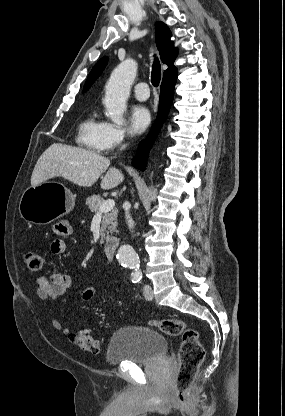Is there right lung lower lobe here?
Listing matches in <instances>:
<instances>
[{
	"label": "right lung lower lobe",
	"mask_w": 285,
	"mask_h": 416,
	"mask_svg": "<svg viewBox=\"0 0 285 416\" xmlns=\"http://www.w3.org/2000/svg\"><path fill=\"white\" fill-rule=\"evenodd\" d=\"M176 77L177 75L167 78L162 81L161 91H160L159 110H158V121L156 125L152 128L149 137L140 144L137 155L132 162L134 167L142 171L145 170L146 162H147V158H148V154L151 149V146L156 136L158 135L159 130L162 126V123L164 122L169 112L170 105L173 100Z\"/></svg>",
	"instance_id": "right-lung-lower-lobe-1"
}]
</instances>
